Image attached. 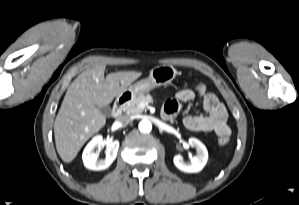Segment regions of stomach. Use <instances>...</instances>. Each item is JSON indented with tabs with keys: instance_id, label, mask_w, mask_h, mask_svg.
<instances>
[{
	"instance_id": "stomach-1",
	"label": "stomach",
	"mask_w": 299,
	"mask_h": 205,
	"mask_svg": "<svg viewBox=\"0 0 299 205\" xmlns=\"http://www.w3.org/2000/svg\"><path fill=\"white\" fill-rule=\"evenodd\" d=\"M178 71L173 66L160 65L154 67L147 78L141 79L127 88L119 96L133 100L139 95L146 94L156 87L167 85L174 80Z\"/></svg>"
}]
</instances>
